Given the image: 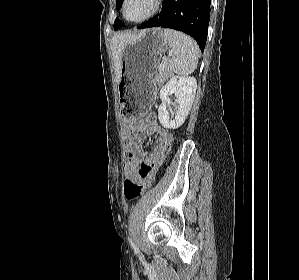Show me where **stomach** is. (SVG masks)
<instances>
[{
  "label": "stomach",
  "instance_id": "stomach-1",
  "mask_svg": "<svg viewBox=\"0 0 299 280\" xmlns=\"http://www.w3.org/2000/svg\"><path fill=\"white\" fill-rule=\"evenodd\" d=\"M168 46L161 28L143 30L124 45L118 93L125 117H141L149 111L156 92L152 77Z\"/></svg>",
  "mask_w": 299,
  "mask_h": 280
}]
</instances>
